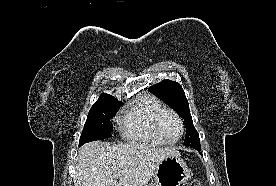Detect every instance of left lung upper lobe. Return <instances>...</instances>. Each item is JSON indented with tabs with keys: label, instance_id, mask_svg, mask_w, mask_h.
Here are the masks:
<instances>
[{
	"label": "left lung upper lobe",
	"instance_id": "5c2ea615",
	"mask_svg": "<svg viewBox=\"0 0 276 186\" xmlns=\"http://www.w3.org/2000/svg\"><path fill=\"white\" fill-rule=\"evenodd\" d=\"M150 91L173 108L180 117L185 119V146H200L199 134L193 125L188 100L182 86L174 81L163 80L150 87Z\"/></svg>",
	"mask_w": 276,
	"mask_h": 186
}]
</instances>
